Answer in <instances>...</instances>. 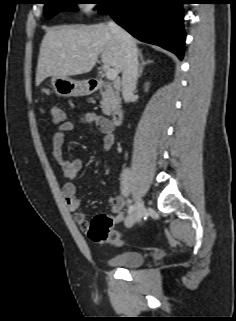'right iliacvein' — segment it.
Masks as SVG:
<instances>
[{
  "label": "right iliac vein",
  "mask_w": 236,
  "mask_h": 321,
  "mask_svg": "<svg viewBox=\"0 0 236 321\" xmlns=\"http://www.w3.org/2000/svg\"><path fill=\"white\" fill-rule=\"evenodd\" d=\"M145 213V205L144 202L140 197L137 198L135 203V210L134 212L127 218L126 224L132 225L133 223H136L140 221Z\"/></svg>",
  "instance_id": "obj_1"
}]
</instances>
